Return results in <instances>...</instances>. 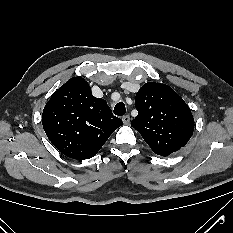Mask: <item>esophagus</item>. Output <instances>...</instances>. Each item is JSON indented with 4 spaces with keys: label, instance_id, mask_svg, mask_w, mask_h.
<instances>
[{
    "label": "esophagus",
    "instance_id": "esophagus-1",
    "mask_svg": "<svg viewBox=\"0 0 233 233\" xmlns=\"http://www.w3.org/2000/svg\"><path fill=\"white\" fill-rule=\"evenodd\" d=\"M122 120H123V123L125 125H128L129 122H130V116L129 115H125V116H123Z\"/></svg>",
    "mask_w": 233,
    "mask_h": 233
}]
</instances>
